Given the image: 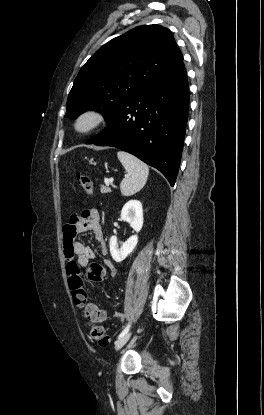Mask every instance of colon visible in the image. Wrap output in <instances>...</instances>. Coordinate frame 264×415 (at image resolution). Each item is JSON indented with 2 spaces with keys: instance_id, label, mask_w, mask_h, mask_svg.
<instances>
[{
  "instance_id": "colon-1",
  "label": "colon",
  "mask_w": 264,
  "mask_h": 415,
  "mask_svg": "<svg viewBox=\"0 0 264 415\" xmlns=\"http://www.w3.org/2000/svg\"><path fill=\"white\" fill-rule=\"evenodd\" d=\"M75 178L78 186L87 195L93 194V185L88 176L80 172H76ZM104 275V268L100 264L92 263L85 269L84 277L88 281L98 282L103 280ZM67 281L75 304L81 307L84 311L87 325L91 331V337L97 341L100 346H107L109 343V337L105 333L104 328L100 325L103 321L104 315L96 305L89 301L88 293L84 289L81 269L74 262L70 263L67 267Z\"/></svg>"
}]
</instances>
